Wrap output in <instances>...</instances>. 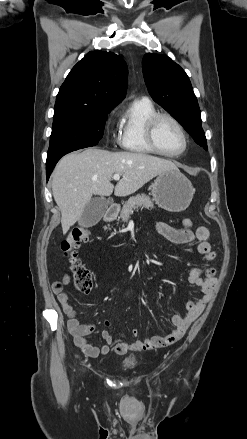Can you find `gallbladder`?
<instances>
[{
	"label": "gallbladder",
	"instance_id": "1",
	"mask_svg": "<svg viewBox=\"0 0 247 439\" xmlns=\"http://www.w3.org/2000/svg\"><path fill=\"white\" fill-rule=\"evenodd\" d=\"M109 201L103 197L92 198L84 208V211L79 218V225L87 228L97 224L103 217L108 208Z\"/></svg>",
	"mask_w": 247,
	"mask_h": 439
}]
</instances>
